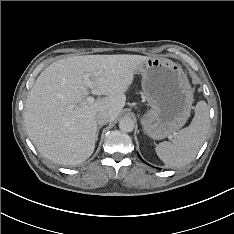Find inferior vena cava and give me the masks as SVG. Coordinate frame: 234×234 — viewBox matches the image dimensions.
<instances>
[{
    "label": "inferior vena cava",
    "instance_id": "602c4592",
    "mask_svg": "<svg viewBox=\"0 0 234 234\" xmlns=\"http://www.w3.org/2000/svg\"><path fill=\"white\" fill-rule=\"evenodd\" d=\"M110 115L109 113L102 111L96 114L95 121L99 125H105L110 121Z\"/></svg>",
    "mask_w": 234,
    "mask_h": 234
}]
</instances>
